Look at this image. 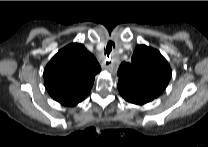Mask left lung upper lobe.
<instances>
[{
    "mask_svg": "<svg viewBox=\"0 0 208 147\" xmlns=\"http://www.w3.org/2000/svg\"><path fill=\"white\" fill-rule=\"evenodd\" d=\"M118 88L157 98L167 87L171 68L161 53L146 45H138L131 62H123L118 69Z\"/></svg>",
    "mask_w": 208,
    "mask_h": 147,
    "instance_id": "obj_1",
    "label": "left lung upper lobe"
}]
</instances>
